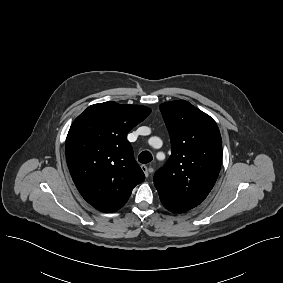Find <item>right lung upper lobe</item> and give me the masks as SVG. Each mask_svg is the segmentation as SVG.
<instances>
[{
  "mask_svg": "<svg viewBox=\"0 0 283 283\" xmlns=\"http://www.w3.org/2000/svg\"><path fill=\"white\" fill-rule=\"evenodd\" d=\"M150 112L145 106L111 101L89 106L72 123L66 138L68 168L94 208L117 211L145 179L126 136Z\"/></svg>",
  "mask_w": 283,
  "mask_h": 283,
  "instance_id": "cb5924a9",
  "label": "right lung upper lobe"
}]
</instances>
